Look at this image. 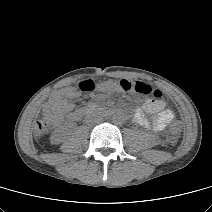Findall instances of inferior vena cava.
<instances>
[{
	"mask_svg": "<svg viewBox=\"0 0 212 212\" xmlns=\"http://www.w3.org/2000/svg\"><path fill=\"white\" fill-rule=\"evenodd\" d=\"M101 118H98V116L96 115H93V116H90L87 118V123L90 124V125H93V124H98L100 122Z\"/></svg>",
	"mask_w": 212,
	"mask_h": 212,
	"instance_id": "obj_1",
	"label": "inferior vena cava"
}]
</instances>
